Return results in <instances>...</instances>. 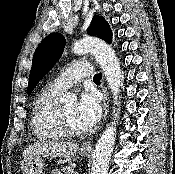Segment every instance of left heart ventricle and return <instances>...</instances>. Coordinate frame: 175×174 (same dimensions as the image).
Here are the masks:
<instances>
[{
    "label": "left heart ventricle",
    "instance_id": "obj_1",
    "mask_svg": "<svg viewBox=\"0 0 175 174\" xmlns=\"http://www.w3.org/2000/svg\"><path fill=\"white\" fill-rule=\"evenodd\" d=\"M62 110L64 112V115L70 125L72 126L73 129L78 130V131H83L84 129L79 125L76 119V104L75 103H70L62 107Z\"/></svg>",
    "mask_w": 175,
    "mask_h": 174
}]
</instances>
